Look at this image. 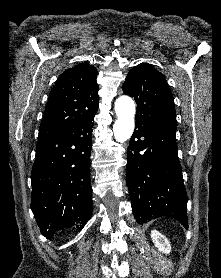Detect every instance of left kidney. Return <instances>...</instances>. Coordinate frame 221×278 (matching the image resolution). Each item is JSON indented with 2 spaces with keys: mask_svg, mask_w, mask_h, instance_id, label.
Returning a JSON list of instances; mask_svg holds the SVG:
<instances>
[{
  "mask_svg": "<svg viewBox=\"0 0 221 278\" xmlns=\"http://www.w3.org/2000/svg\"><path fill=\"white\" fill-rule=\"evenodd\" d=\"M151 238L158 250L162 253L169 254L171 252V245L166 236L162 235L156 230L151 231Z\"/></svg>",
  "mask_w": 221,
  "mask_h": 278,
  "instance_id": "5707ae66",
  "label": "left kidney"
}]
</instances>
